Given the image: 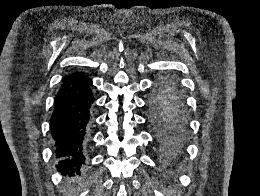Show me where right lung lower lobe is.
<instances>
[{
  "instance_id": "98d812e1",
  "label": "right lung lower lobe",
  "mask_w": 260,
  "mask_h": 196,
  "mask_svg": "<svg viewBox=\"0 0 260 196\" xmlns=\"http://www.w3.org/2000/svg\"><path fill=\"white\" fill-rule=\"evenodd\" d=\"M94 100L88 75L73 72L63 78L50 121L56 168L62 174L80 175L84 168Z\"/></svg>"
}]
</instances>
